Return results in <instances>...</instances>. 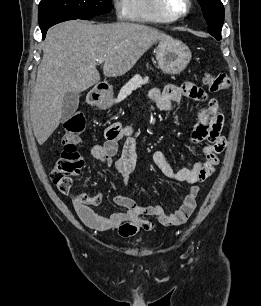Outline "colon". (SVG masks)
<instances>
[{"label":"colon","instance_id":"1","mask_svg":"<svg viewBox=\"0 0 261 306\" xmlns=\"http://www.w3.org/2000/svg\"><path fill=\"white\" fill-rule=\"evenodd\" d=\"M204 82L214 92L226 90L230 86V78L225 73L207 74ZM85 125V116L81 112H75L64 123L63 150L50 173L51 181L63 193L70 192L71 176L79 174L83 167L84 162L77 150V144ZM73 199L76 202L90 204H97L100 200L97 196L87 197L81 194H74Z\"/></svg>","mask_w":261,"mask_h":306}]
</instances>
